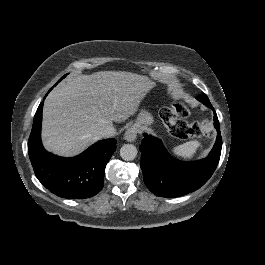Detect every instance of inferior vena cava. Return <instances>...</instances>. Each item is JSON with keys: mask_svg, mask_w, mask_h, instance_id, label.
Returning a JSON list of instances; mask_svg holds the SVG:
<instances>
[{"mask_svg": "<svg viewBox=\"0 0 265 265\" xmlns=\"http://www.w3.org/2000/svg\"><path fill=\"white\" fill-rule=\"evenodd\" d=\"M116 134V131L113 127H107L104 131H103V137L104 138H111L114 137V135Z\"/></svg>", "mask_w": 265, "mask_h": 265, "instance_id": "inferior-vena-cava-1", "label": "inferior vena cava"}]
</instances>
